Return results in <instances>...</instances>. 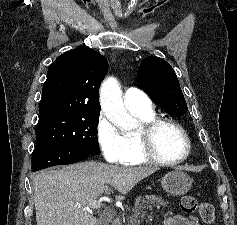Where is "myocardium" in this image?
Listing matches in <instances>:
<instances>
[{"mask_svg":"<svg viewBox=\"0 0 237 225\" xmlns=\"http://www.w3.org/2000/svg\"><path fill=\"white\" fill-rule=\"evenodd\" d=\"M165 126L176 129L184 138L186 151L185 154L178 159H165L158 153L156 147V134L162 127ZM136 137L140 152L148 162L160 165H176L186 160L191 152V140L187 132L180 124L171 120L155 118L148 122L141 123L139 128L136 130Z\"/></svg>","mask_w":237,"mask_h":225,"instance_id":"f54148a6","label":"myocardium"}]
</instances>
